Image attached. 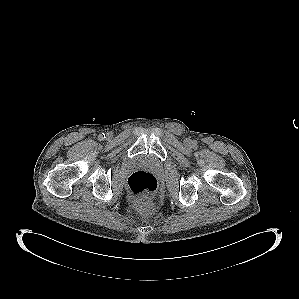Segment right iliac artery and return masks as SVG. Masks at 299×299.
<instances>
[{
	"label": "right iliac artery",
	"instance_id": "1",
	"mask_svg": "<svg viewBox=\"0 0 299 299\" xmlns=\"http://www.w3.org/2000/svg\"><path fill=\"white\" fill-rule=\"evenodd\" d=\"M104 138H105V134H104V133H102V134L99 135V139H100V140H102V139H104Z\"/></svg>",
	"mask_w": 299,
	"mask_h": 299
}]
</instances>
